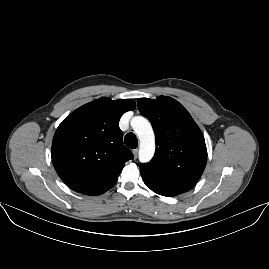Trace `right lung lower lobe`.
<instances>
[{
  "instance_id": "right-lung-lower-lobe-1",
  "label": "right lung lower lobe",
  "mask_w": 269,
  "mask_h": 269,
  "mask_svg": "<svg viewBox=\"0 0 269 269\" xmlns=\"http://www.w3.org/2000/svg\"><path fill=\"white\" fill-rule=\"evenodd\" d=\"M114 186V185H113ZM112 186V187H113ZM110 187V188H112ZM110 188H106V189H100V190H96V191H93V192H89V193H86V195H99V194H102L104 192H106L107 190H109Z\"/></svg>"
}]
</instances>
